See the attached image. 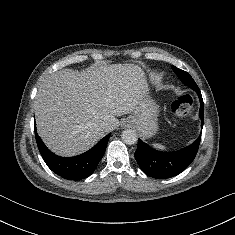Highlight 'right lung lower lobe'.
<instances>
[{
	"label": "right lung lower lobe",
	"mask_w": 235,
	"mask_h": 235,
	"mask_svg": "<svg viewBox=\"0 0 235 235\" xmlns=\"http://www.w3.org/2000/svg\"><path fill=\"white\" fill-rule=\"evenodd\" d=\"M38 149L47 166L57 175L68 180H81L90 176L103 157L110 134L100 140L92 149L75 157H60L52 153L38 136L35 129Z\"/></svg>",
	"instance_id": "1"
}]
</instances>
